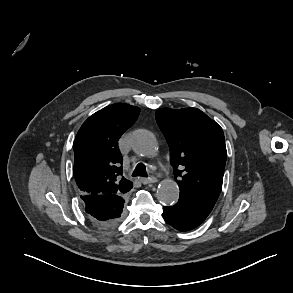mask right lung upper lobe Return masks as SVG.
<instances>
[{
  "label": "right lung upper lobe",
  "instance_id": "obj_1",
  "mask_svg": "<svg viewBox=\"0 0 293 293\" xmlns=\"http://www.w3.org/2000/svg\"><path fill=\"white\" fill-rule=\"evenodd\" d=\"M139 112L138 107L128 104H112L94 113L80 128L73 144V171L83 196L124 195L133 187L122 177L118 140L137 120Z\"/></svg>",
  "mask_w": 293,
  "mask_h": 293
}]
</instances>
